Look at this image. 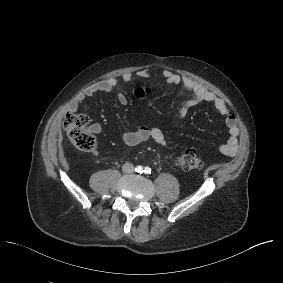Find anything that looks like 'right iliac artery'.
Masks as SVG:
<instances>
[{
    "instance_id": "1",
    "label": "right iliac artery",
    "mask_w": 283,
    "mask_h": 283,
    "mask_svg": "<svg viewBox=\"0 0 283 283\" xmlns=\"http://www.w3.org/2000/svg\"><path fill=\"white\" fill-rule=\"evenodd\" d=\"M135 171L138 172V173H142L143 172L142 166H137Z\"/></svg>"
}]
</instances>
